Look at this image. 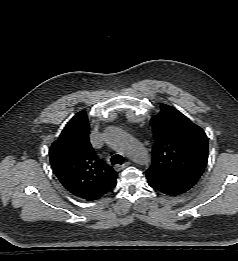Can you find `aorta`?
Returning <instances> with one entry per match:
<instances>
[{"instance_id": "aorta-1", "label": "aorta", "mask_w": 238, "mask_h": 261, "mask_svg": "<svg viewBox=\"0 0 238 261\" xmlns=\"http://www.w3.org/2000/svg\"><path fill=\"white\" fill-rule=\"evenodd\" d=\"M111 143L117 145L123 154L140 164L148 163L150 158L145 148L120 128L109 129Z\"/></svg>"}]
</instances>
